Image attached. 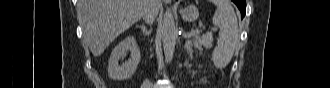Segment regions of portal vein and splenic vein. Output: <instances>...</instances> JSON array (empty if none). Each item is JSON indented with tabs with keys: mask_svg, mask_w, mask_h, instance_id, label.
Instances as JSON below:
<instances>
[{
	"mask_svg": "<svg viewBox=\"0 0 330 88\" xmlns=\"http://www.w3.org/2000/svg\"><path fill=\"white\" fill-rule=\"evenodd\" d=\"M214 31H215V30H214ZM198 32H199V31L196 30V31H194V32H192V33L185 34V35H184V38H190L193 34L198 33Z\"/></svg>",
	"mask_w": 330,
	"mask_h": 88,
	"instance_id": "portal-vein-and-splenic-vein-1",
	"label": "portal vein and splenic vein"
}]
</instances>
